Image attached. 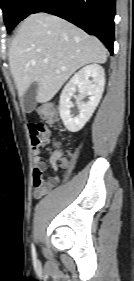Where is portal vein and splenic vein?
<instances>
[{"instance_id":"18ae733b","label":"portal vein and splenic vein","mask_w":134,"mask_h":281,"mask_svg":"<svg viewBox=\"0 0 134 281\" xmlns=\"http://www.w3.org/2000/svg\"><path fill=\"white\" fill-rule=\"evenodd\" d=\"M44 62H45V63H47V62H48V60H47V59H45V60H44Z\"/></svg>"}]
</instances>
